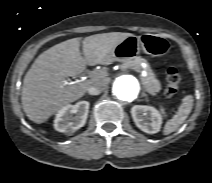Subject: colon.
Masks as SVG:
<instances>
[{"label":"colon","instance_id":"5ec220e1","mask_svg":"<svg viewBox=\"0 0 212 183\" xmlns=\"http://www.w3.org/2000/svg\"><path fill=\"white\" fill-rule=\"evenodd\" d=\"M181 83L180 73L176 68H169L166 73V86L164 89V95L167 98L173 97L179 88Z\"/></svg>","mask_w":212,"mask_h":183}]
</instances>
